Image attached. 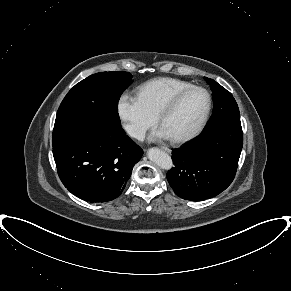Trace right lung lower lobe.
I'll list each match as a JSON object with an SVG mask.
<instances>
[{
	"instance_id": "obj_1",
	"label": "right lung lower lobe",
	"mask_w": 291,
	"mask_h": 291,
	"mask_svg": "<svg viewBox=\"0 0 291 291\" xmlns=\"http://www.w3.org/2000/svg\"><path fill=\"white\" fill-rule=\"evenodd\" d=\"M142 154L121 127L84 129L53 146L62 183L73 195L89 202L120 196Z\"/></svg>"
}]
</instances>
